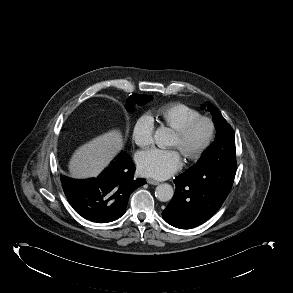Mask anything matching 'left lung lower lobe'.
Returning <instances> with one entry per match:
<instances>
[{"mask_svg": "<svg viewBox=\"0 0 293 293\" xmlns=\"http://www.w3.org/2000/svg\"><path fill=\"white\" fill-rule=\"evenodd\" d=\"M236 164L223 168H189L174 179L175 194L162 212L164 220L180 229H190L208 220L226 199Z\"/></svg>", "mask_w": 293, "mask_h": 293, "instance_id": "left-lung-lower-lobe-1", "label": "left lung lower lobe"}]
</instances>
